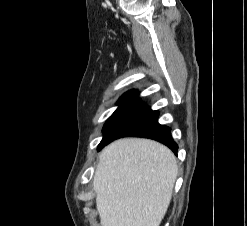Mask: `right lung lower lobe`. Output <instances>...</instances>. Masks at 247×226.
Instances as JSON below:
<instances>
[{"instance_id":"1","label":"right lung lower lobe","mask_w":247,"mask_h":226,"mask_svg":"<svg viewBox=\"0 0 247 226\" xmlns=\"http://www.w3.org/2000/svg\"><path fill=\"white\" fill-rule=\"evenodd\" d=\"M118 105L103 127L104 136L98 151L115 139L133 136L157 140L177 153L178 146L171 137L170 128L158 123L159 112L142 102L136 91L125 93Z\"/></svg>"}]
</instances>
